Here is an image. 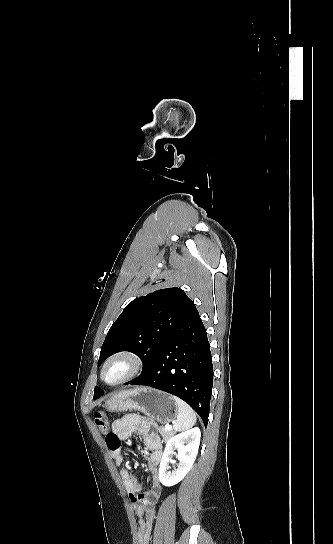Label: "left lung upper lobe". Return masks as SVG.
<instances>
[{
    "label": "left lung upper lobe",
    "instance_id": "5c2ea615",
    "mask_svg": "<svg viewBox=\"0 0 333 544\" xmlns=\"http://www.w3.org/2000/svg\"><path fill=\"white\" fill-rule=\"evenodd\" d=\"M194 307L180 288L157 290L133 300L109 329L98 365L112 354L127 350L141 358L142 375ZM100 393L103 395L95 387L93 398Z\"/></svg>",
    "mask_w": 333,
    "mask_h": 544
}]
</instances>
